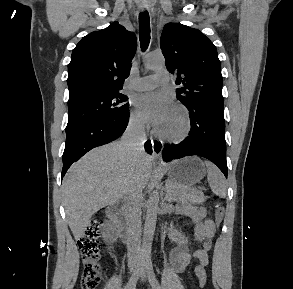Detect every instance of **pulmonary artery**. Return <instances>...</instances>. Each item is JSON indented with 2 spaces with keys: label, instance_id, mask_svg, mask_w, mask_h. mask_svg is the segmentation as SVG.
Masks as SVG:
<instances>
[{
  "label": "pulmonary artery",
  "instance_id": "obj_1",
  "mask_svg": "<svg viewBox=\"0 0 293 289\" xmlns=\"http://www.w3.org/2000/svg\"><path fill=\"white\" fill-rule=\"evenodd\" d=\"M170 81V74L167 70L160 69L154 74L139 78L134 81L133 88L138 91L150 90L157 85L167 84Z\"/></svg>",
  "mask_w": 293,
  "mask_h": 289
}]
</instances>
